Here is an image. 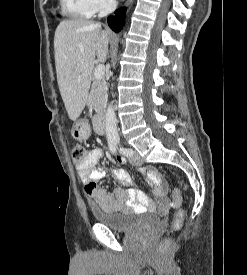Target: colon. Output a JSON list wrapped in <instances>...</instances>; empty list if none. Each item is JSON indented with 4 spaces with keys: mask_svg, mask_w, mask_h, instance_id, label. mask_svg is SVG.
<instances>
[{
    "mask_svg": "<svg viewBox=\"0 0 247 275\" xmlns=\"http://www.w3.org/2000/svg\"><path fill=\"white\" fill-rule=\"evenodd\" d=\"M86 155H87V151L85 147H83L82 145H75L73 147L72 158L76 163L82 162L85 159ZM94 190H95V185L92 183H89L85 186V191L87 194H92ZM172 197H173L172 206L177 208L174 214V218L172 220V228L174 230H178L183 225V221L185 218V211L182 208H179L181 204V199H182L180 190L177 188L174 189Z\"/></svg>",
    "mask_w": 247,
    "mask_h": 275,
    "instance_id": "colon-1",
    "label": "colon"
}]
</instances>
